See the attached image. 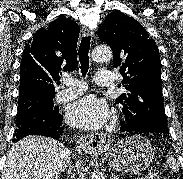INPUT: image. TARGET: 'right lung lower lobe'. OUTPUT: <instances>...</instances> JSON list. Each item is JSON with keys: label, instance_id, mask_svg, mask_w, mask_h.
I'll list each match as a JSON object with an SVG mask.
<instances>
[{"label": "right lung lower lobe", "instance_id": "right-lung-lower-lobe-1", "mask_svg": "<svg viewBox=\"0 0 183 179\" xmlns=\"http://www.w3.org/2000/svg\"><path fill=\"white\" fill-rule=\"evenodd\" d=\"M63 116L56 115L51 118H30L15 129L13 142L28 135L48 136L59 139L63 134Z\"/></svg>", "mask_w": 183, "mask_h": 179}]
</instances>
